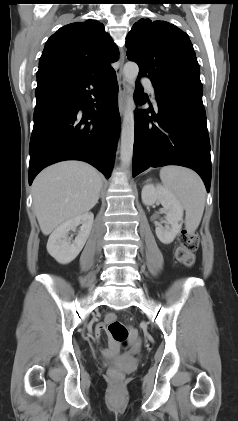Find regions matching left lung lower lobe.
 I'll list each match as a JSON object with an SVG mask.
<instances>
[{"label": "left lung lower lobe", "mask_w": 238, "mask_h": 421, "mask_svg": "<svg viewBox=\"0 0 238 421\" xmlns=\"http://www.w3.org/2000/svg\"><path fill=\"white\" fill-rule=\"evenodd\" d=\"M153 86L158 115L152 107L135 110L133 177L149 167L180 165L195 170L209 192L210 142L199 77L153 83ZM136 87L135 102L143 104L142 86L138 81Z\"/></svg>", "instance_id": "1"}]
</instances>
